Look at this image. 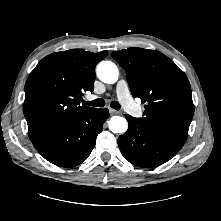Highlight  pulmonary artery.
Here are the masks:
<instances>
[{"label":"pulmonary artery","instance_id":"e3ab8cb5","mask_svg":"<svg viewBox=\"0 0 221 221\" xmlns=\"http://www.w3.org/2000/svg\"><path fill=\"white\" fill-rule=\"evenodd\" d=\"M116 93L117 97L120 100L121 104L124 108L130 110L133 114H138L136 111H134V102L131 98L128 84L124 79H121L117 82L116 85ZM90 100L96 98L95 96H90Z\"/></svg>","mask_w":221,"mask_h":221}]
</instances>
